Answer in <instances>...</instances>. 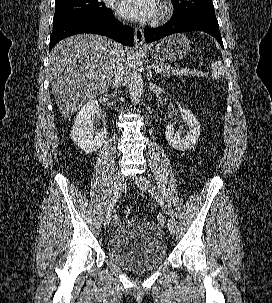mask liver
I'll use <instances>...</instances> for the list:
<instances>
[{
    "label": "liver",
    "instance_id": "liver-1",
    "mask_svg": "<svg viewBox=\"0 0 272 303\" xmlns=\"http://www.w3.org/2000/svg\"><path fill=\"white\" fill-rule=\"evenodd\" d=\"M127 49L107 37L80 34L61 40L49 56L52 93L67 118L111 84L119 58Z\"/></svg>",
    "mask_w": 272,
    "mask_h": 303
}]
</instances>
